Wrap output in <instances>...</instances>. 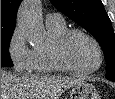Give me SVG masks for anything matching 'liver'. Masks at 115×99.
<instances>
[{"label": "liver", "instance_id": "obj_1", "mask_svg": "<svg viewBox=\"0 0 115 99\" xmlns=\"http://www.w3.org/2000/svg\"><path fill=\"white\" fill-rule=\"evenodd\" d=\"M80 78L33 74H11L1 70V99H58Z\"/></svg>", "mask_w": 115, "mask_h": 99}]
</instances>
